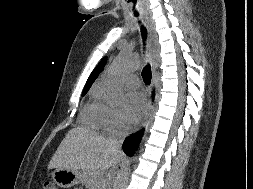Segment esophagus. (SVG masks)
Instances as JSON below:
<instances>
[{
  "label": "esophagus",
  "mask_w": 253,
  "mask_h": 189,
  "mask_svg": "<svg viewBox=\"0 0 253 189\" xmlns=\"http://www.w3.org/2000/svg\"><path fill=\"white\" fill-rule=\"evenodd\" d=\"M146 19H147L149 32H150L149 55H150L152 70H153V72H155L156 69L158 68L159 62H160L159 43H158L157 34H156L153 24L151 23V21L148 18H146ZM154 84H155V80L153 79V85ZM153 109H154V105L152 104V102H150L142 123L139 125V127L135 131H138L146 124V122L148 121V119L152 115Z\"/></svg>",
  "instance_id": "34e87169"
}]
</instances>
